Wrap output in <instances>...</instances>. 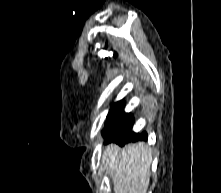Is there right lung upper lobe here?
Masks as SVG:
<instances>
[{
  "label": "right lung upper lobe",
  "instance_id": "1",
  "mask_svg": "<svg viewBox=\"0 0 221 193\" xmlns=\"http://www.w3.org/2000/svg\"><path fill=\"white\" fill-rule=\"evenodd\" d=\"M121 104L120 102L116 103L114 106Z\"/></svg>",
  "mask_w": 221,
  "mask_h": 193
}]
</instances>
